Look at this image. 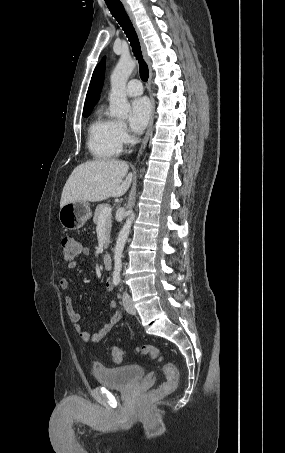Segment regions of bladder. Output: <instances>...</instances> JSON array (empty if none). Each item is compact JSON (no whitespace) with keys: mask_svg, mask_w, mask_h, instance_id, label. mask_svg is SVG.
Segmentation results:
<instances>
[{"mask_svg":"<svg viewBox=\"0 0 285 453\" xmlns=\"http://www.w3.org/2000/svg\"><path fill=\"white\" fill-rule=\"evenodd\" d=\"M95 380L102 386L125 389L145 375V369L138 364H130L120 367H107L100 363H93L91 367Z\"/></svg>","mask_w":285,"mask_h":453,"instance_id":"1","label":"bladder"}]
</instances>
